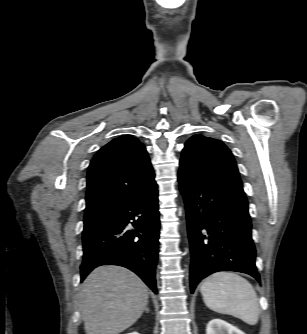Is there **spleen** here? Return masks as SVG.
<instances>
[{
    "label": "spleen",
    "mask_w": 307,
    "mask_h": 334,
    "mask_svg": "<svg viewBox=\"0 0 307 334\" xmlns=\"http://www.w3.org/2000/svg\"><path fill=\"white\" fill-rule=\"evenodd\" d=\"M200 290L205 305L212 311L232 315L249 325L258 322L257 294L245 278L231 272H217L203 280Z\"/></svg>",
    "instance_id": "obj_1"
}]
</instances>
